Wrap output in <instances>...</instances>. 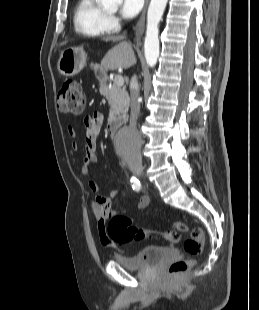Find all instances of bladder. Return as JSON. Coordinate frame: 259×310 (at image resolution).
I'll use <instances>...</instances> for the list:
<instances>
[{
    "label": "bladder",
    "mask_w": 259,
    "mask_h": 310,
    "mask_svg": "<svg viewBox=\"0 0 259 310\" xmlns=\"http://www.w3.org/2000/svg\"><path fill=\"white\" fill-rule=\"evenodd\" d=\"M177 256V251L171 247L146 246L132 256H119L116 261L125 269H147Z\"/></svg>",
    "instance_id": "bladder-1"
}]
</instances>
